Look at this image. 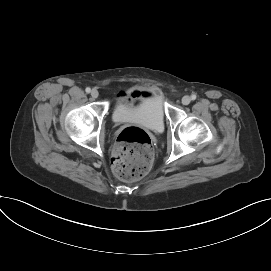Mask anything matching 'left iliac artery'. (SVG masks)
<instances>
[{"mask_svg": "<svg viewBox=\"0 0 271 271\" xmlns=\"http://www.w3.org/2000/svg\"><path fill=\"white\" fill-rule=\"evenodd\" d=\"M191 99H192V100H195V99H196V95H195V94H192V95H191Z\"/></svg>", "mask_w": 271, "mask_h": 271, "instance_id": "left-iliac-artery-1", "label": "left iliac artery"}]
</instances>
